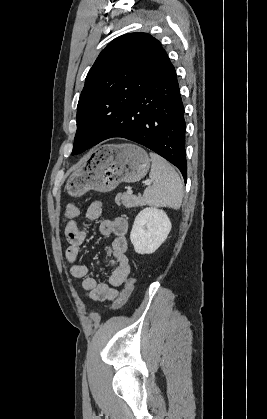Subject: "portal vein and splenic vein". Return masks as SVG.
<instances>
[{
	"mask_svg": "<svg viewBox=\"0 0 267 419\" xmlns=\"http://www.w3.org/2000/svg\"><path fill=\"white\" fill-rule=\"evenodd\" d=\"M150 184H151L150 182H146V183H145V185H146V186H148V185H150ZM127 193H128V194H132V193H133V191H132L131 189H128V190H127Z\"/></svg>",
	"mask_w": 267,
	"mask_h": 419,
	"instance_id": "portal-vein-and-splenic-vein-1",
	"label": "portal vein and splenic vein"
}]
</instances>
